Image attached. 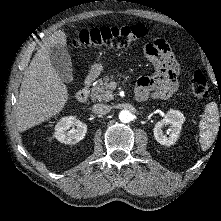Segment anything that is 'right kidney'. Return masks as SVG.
I'll return each instance as SVG.
<instances>
[{"mask_svg":"<svg viewBox=\"0 0 221 221\" xmlns=\"http://www.w3.org/2000/svg\"><path fill=\"white\" fill-rule=\"evenodd\" d=\"M71 127L72 129H70ZM86 132V124L73 116H69L60 119L56 124L54 137L61 143L75 144L84 138Z\"/></svg>","mask_w":221,"mask_h":221,"instance_id":"obj_1","label":"right kidney"}]
</instances>
